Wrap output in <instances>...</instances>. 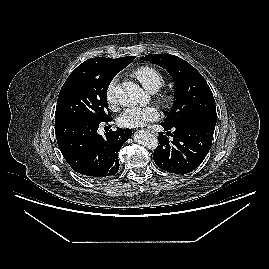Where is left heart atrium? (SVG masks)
<instances>
[{"label": "left heart atrium", "instance_id": "39dd6f15", "mask_svg": "<svg viewBox=\"0 0 269 269\" xmlns=\"http://www.w3.org/2000/svg\"><path fill=\"white\" fill-rule=\"evenodd\" d=\"M159 118V111L154 106L130 107L118 118L119 125L127 128H137Z\"/></svg>", "mask_w": 269, "mask_h": 269}]
</instances>
